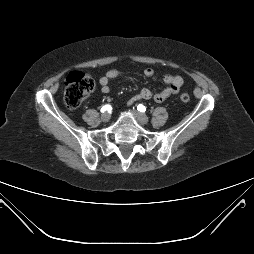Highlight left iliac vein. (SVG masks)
<instances>
[{"label":"left iliac vein","instance_id":"obj_1","mask_svg":"<svg viewBox=\"0 0 254 254\" xmlns=\"http://www.w3.org/2000/svg\"><path fill=\"white\" fill-rule=\"evenodd\" d=\"M132 112L136 116V118L140 121V123L147 124L149 122V118L145 114L140 113L135 109H133Z\"/></svg>","mask_w":254,"mask_h":254}]
</instances>
